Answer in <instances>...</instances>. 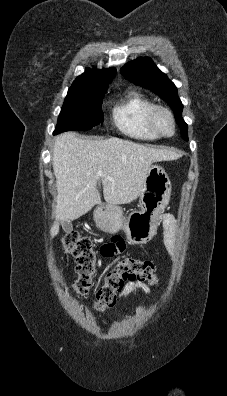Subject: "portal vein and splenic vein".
<instances>
[{
  "label": "portal vein and splenic vein",
  "instance_id": "obj_1",
  "mask_svg": "<svg viewBox=\"0 0 227 396\" xmlns=\"http://www.w3.org/2000/svg\"><path fill=\"white\" fill-rule=\"evenodd\" d=\"M100 176H102L103 174H102V172L101 171H99V173H98Z\"/></svg>",
  "mask_w": 227,
  "mask_h": 396
}]
</instances>
